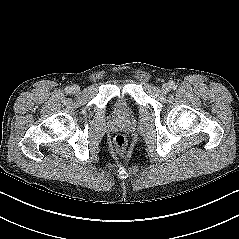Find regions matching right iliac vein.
<instances>
[{
  "label": "right iliac vein",
  "instance_id": "obj_1",
  "mask_svg": "<svg viewBox=\"0 0 239 239\" xmlns=\"http://www.w3.org/2000/svg\"><path fill=\"white\" fill-rule=\"evenodd\" d=\"M79 91H80V87H79L78 85H74V86L72 87V92H73L74 94H78Z\"/></svg>",
  "mask_w": 239,
  "mask_h": 239
}]
</instances>
